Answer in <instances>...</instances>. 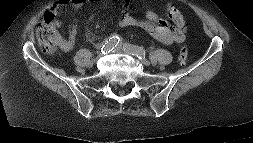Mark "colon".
I'll use <instances>...</instances> for the list:
<instances>
[{
    "mask_svg": "<svg viewBox=\"0 0 253 143\" xmlns=\"http://www.w3.org/2000/svg\"><path fill=\"white\" fill-rule=\"evenodd\" d=\"M37 38L41 49L46 53L54 52L61 45V36L54 25V16L46 12L43 21L37 29ZM189 49L183 46L180 50L179 60L184 64L188 59Z\"/></svg>",
    "mask_w": 253,
    "mask_h": 143,
    "instance_id": "obj_1",
    "label": "colon"
}]
</instances>
